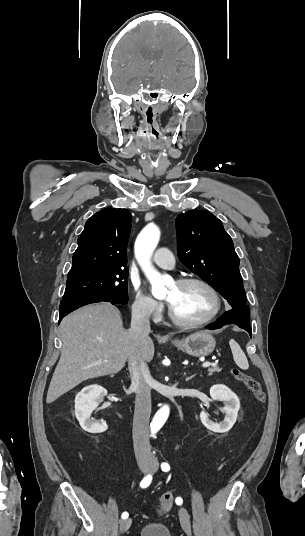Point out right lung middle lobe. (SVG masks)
I'll return each instance as SVG.
<instances>
[{
  "label": "right lung middle lobe",
  "instance_id": "dd1d6c3e",
  "mask_svg": "<svg viewBox=\"0 0 305 536\" xmlns=\"http://www.w3.org/2000/svg\"><path fill=\"white\" fill-rule=\"evenodd\" d=\"M127 278L128 270L120 269L70 277L67 279L62 300L88 298L126 304Z\"/></svg>",
  "mask_w": 305,
  "mask_h": 536
}]
</instances>
